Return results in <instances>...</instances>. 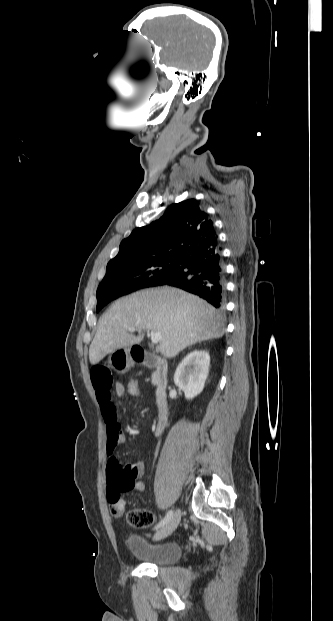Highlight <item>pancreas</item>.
I'll use <instances>...</instances> for the list:
<instances>
[{
	"label": "pancreas",
	"mask_w": 333,
	"mask_h": 621,
	"mask_svg": "<svg viewBox=\"0 0 333 621\" xmlns=\"http://www.w3.org/2000/svg\"><path fill=\"white\" fill-rule=\"evenodd\" d=\"M152 378H153V379L155 378V375H154V374L152 375Z\"/></svg>",
	"instance_id": "1"
}]
</instances>
